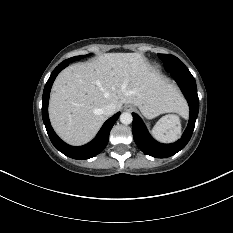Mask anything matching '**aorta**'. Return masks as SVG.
Instances as JSON below:
<instances>
[{"instance_id": "762f6f07", "label": "aorta", "mask_w": 233, "mask_h": 233, "mask_svg": "<svg viewBox=\"0 0 233 233\" xmlns=\"http://www.w3.org/2000/svg\"><path fill=\"white\" fill-rule=\"evenodd\" d=\"M120 121L122 124H125V125L131 124L133 121L132 114L129 112H123L120 115Z\"/></svg>"}]
</instances>
